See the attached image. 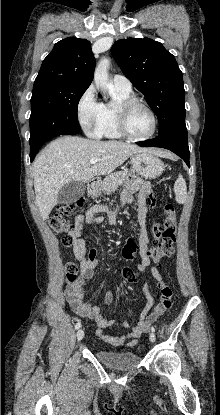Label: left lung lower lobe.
I'll return each instance as SVG.
<instances>
[{
  "instance_id": "left-lung-lower-lobe-1",
  "label": "left lung lower lobe",
  "mask_w": 220,
  "mask_h": 415,
  "mask_svg": "<svg viewBox=\"0 0 220 415\" xmlns=\"http://www.w3.org/2000/svg\"><path fill=\"white\" fill-rule=\"evenodd\" d=\"M140 146L160 147L168 149L180 156L185 163H189V147L187 140V128L185 118L172 122L164 131L151 140L137 142Z\"/></svg>"
}]
</instances>
